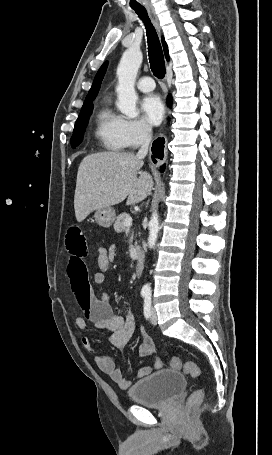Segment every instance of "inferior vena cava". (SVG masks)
Masks as SVG:
<instances>
[{"mask_svg":"<svg viewBox=\"0 0 272 455\" xmlns=\"http://www.w3.org/2000/svg\"><path fill=\"white\" fill-rule=\"evenodd\" d=\"M151 139L152 128L146 125L142 134L141 147L136 155L138 158H144L147 155Z\"/></svg>","mask_w":272,"mask_h":455,"instance_id":"obj_1","label":"inferior vena cava"}]
</instances>
